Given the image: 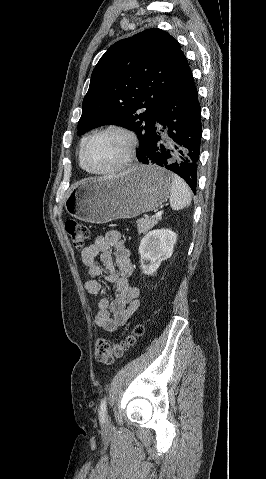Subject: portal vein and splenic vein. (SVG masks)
Here are the masks:
<instances>
[{
    "label": "portal vein and splenic vein",
    "instance_id": "portal-vein-and-splenic-vein-1",
    "mask_svg": "<svg viewBox=\"0 0 266 479\" xmlns=\"http://www.w3.org/2000/svg\"><path fill=\"white\" fill-rule=\"evenodd\" d=\"M162 213H163L162 211H158V212L155 213L154 217L155 218L161 217Z\"/></svg>",
    "mask_w": 266,
    "mask_h": 479
}]
</instances>
